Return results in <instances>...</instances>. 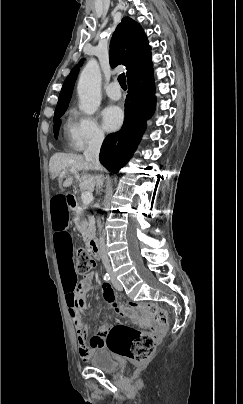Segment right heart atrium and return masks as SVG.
Segmentation results:
<instances>
[{
	"mask_svg": "<svg viewBox=\"0 0 243 404\" xmlns=\"http://www.w3.org/2000/svg\"><path fill=\"white\" fill-rule=\"evenodd\" d=\"M105 135L95 117L83 115L77 109L70 111L66 126V143L72 152H82L88 148L103 144Z\"/></svg>",
	"mask_w": 243,
	"mask_h": 404,
	"instance_id": "obj_1",
	"label": "right heart atrium"
}]
</instances>
